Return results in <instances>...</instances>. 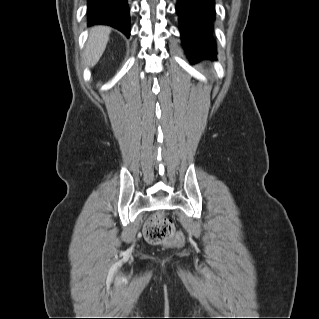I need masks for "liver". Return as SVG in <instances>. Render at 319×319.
<instances>
[{
    "instance_id": "obj_1",
    "label": "liver",
    "mask_w": 319,
    "mask_h": 319,
    "mask_svg": "<svg viewBox=\"0 0 319 319\" xmlns=\"http://www.w3.org/2000/svg\"><path fill=\"white\" fill-rule=\"evenodd\" d=\"M111 29L106 26L91 28L85 49V63L93 67L105 51Z\"/></svg>"
}]
</instances>
